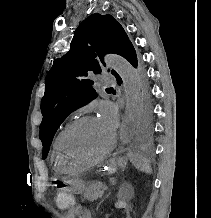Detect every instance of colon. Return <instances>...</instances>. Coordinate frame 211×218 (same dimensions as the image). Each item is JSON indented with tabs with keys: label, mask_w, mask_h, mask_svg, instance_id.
<instances>
[{
	"label": "colon",
	"mask_w": 211,
	"mask_h": 218,
	"mask_svg": "<svg viewBox=\"0 0 211 218\" xmlns=\"http://www.w3.org/2000/svg\"><path fill=\"white\" fill-rule=\"evenodd\" d=\"M55 201L59 208L71 209L75 207V197L71 190L66 186L57 189Z\"/></svg>",
	"instance_id": "obj_1"
}]
</instances>
